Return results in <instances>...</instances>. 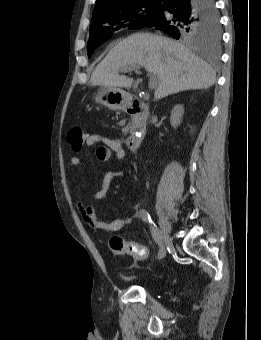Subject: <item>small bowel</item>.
Returning <instances> with one entry per match:
<instances>
[{
	"label": "small bowel",
	"instance_id": "1",
	"mask_svg": "<svg viewBox=\"0 0 261 340\" xmlns=\"http://www.w3.org/2000/svg\"><path fill=\"white\" fill-rule=\"evenodd\" d=\"M97 143H100L96 149V157L99 161L109 163L112 160H122L125 157L126 152L120 139L101 134H86L84 141L85 146L91 147ZM70 163L78 169H82L83 167V161L77 156L72 157L70 159ZM116 175L117 172L111 170L104 174L101 182V188L93 195V200H101L106 196L110 184ZM76 204L83 221L95 231L117 232L123 230L128 228L132 224L133 220L138 216L135 214L131 217L115 219L107 222L100 220L96 216L95 211L90 204L83 203L80 200H77Z\"/></svg>",
	"mask_w": 261,
	"mask_h": 340
}]
</instances>
